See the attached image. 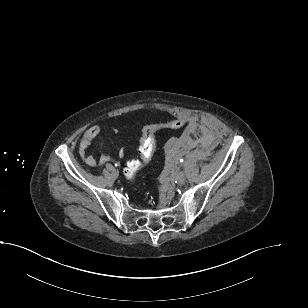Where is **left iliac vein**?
<instances>
[{
  "label": "left iliac vein",
  "instance_id": "4c4485c4",
  "mask_svg": "<svg viewBox=\"0 0 308 308\" xmlns=\"http://www.w3.org/2000/svg\"><path fill=\"white\" fill-rule=\"evenodd\" d=\"M175 180L178 184L182 185L185 182V175L183 172H179L175 174Z\"/></svg>",
  "mask_w": 308,
  "mask_h": 308
}]
</instances>
